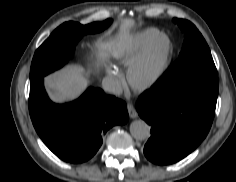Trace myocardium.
I'll return each instance as SVG.
<instances>
[{
	"instance_id": "1",
	"label": "myocardium",
	"mask_w": 236,
	"mask_h": 182,
	"mask_svg": "<svg viewBox=\"0 0 236 182\" xmlns=\"http://www.w3.org/2000/svg\"><path fill=\"white\" fill-rule=\"evenodd\" d=\"M165 39L168 42L166 54L160 65L147 77H140L139 72L141 68L150 59L157 43ZM173 56V43L168 35L158 34L150 43L148 48L128 67L127 80L129 84L136 90L143 91L154 86L165 74L169 68Z\"/></svg>"
}]
</instances>
